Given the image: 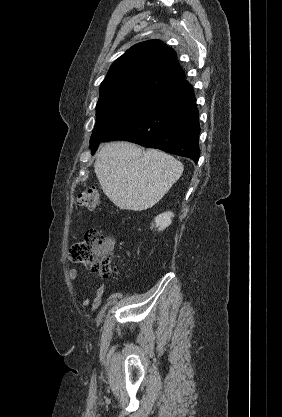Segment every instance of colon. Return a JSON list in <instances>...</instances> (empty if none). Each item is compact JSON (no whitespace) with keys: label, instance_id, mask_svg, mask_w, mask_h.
<instances>
[{"label":"colon","instance_id":"colon-1","mask_svg":"<svg viewBox=\"0 0 282 417\" xmlns=\"http://www.w3.org/2000/svg\"><path fill=\"white\" fill-rule=\"evenodd\" d=\"M99 193L91 187L80 196L81 205L87 209H95L99 205ZM109 243L97 229H90L83 241L72 246L71 256L74 263L84 265L101 276L112 275V264L109 259Z\"/></svg>","mask_w":282,"mask_h":417}]
</instances>
